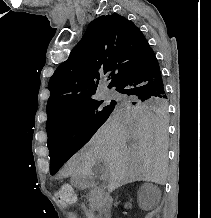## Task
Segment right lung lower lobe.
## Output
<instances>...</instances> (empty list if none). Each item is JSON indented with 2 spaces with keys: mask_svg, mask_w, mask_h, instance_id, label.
Wrapping results in <instances>:
<instances>
[{
  "mask_svg": "<svg viewBox=\"0 0 211 218\" xmlns=\"http://www.w3.org/2000/svg\"><path fill=\"white\" fill-rule=\"evenodd\" d=\"M112 87L128 97L167 98L153 50L131 65Z\"/></svg>",
  "mask_w": 211,
  "mask_h": 218,
  "instance_id": "1",
  "label": "right lung lower lobe"
}]
</instances>
